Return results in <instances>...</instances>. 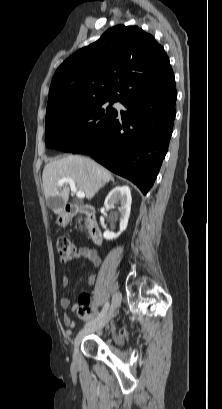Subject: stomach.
I'll use <instances>...</instances> for the list:
<instances>
[{"label":"stomach","instance_id":"obj_1","mask_svg":"<svg viewBox=\"0 0 222 409\" xmlns=\"http://www.w3.org/2000/svg\"><path fill=\"white\" fill-rule=\"evenodd\" d=\"M71 219L70 214H68L66 211H62L59 213L56 223L60 226V227H65L67 226V224L69 223Z\"/></svg>","mask_w":222,"mask_h":409}]
</instances>
